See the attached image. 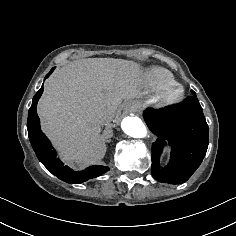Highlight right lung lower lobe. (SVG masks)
Here are the masks:
<instances>
[{
    "label": "right lung lower lobe",
    "mask_w": 236,
    "mask_h": 236,
    "mask_svg": "<svg viewBox=\"0 0 236 236\" xmlns=\"http://www.w3.org/2000/svg\"><path fill=\"white\" fill-rule=\"evenodd\" d=\"M54 68L45 77L47 78ZM43 93V85L33 97L32 105L28 113L27 129L28 136L39 161L56 177L67 183H82L89 179L101 176L109 170L108 166L93 165L83 171H73L56 158L55 150L48 138L40 129V121L37 115L36 106Z\"/></svg>",
    "instance_id": "obj_1"
}]
</instances>
